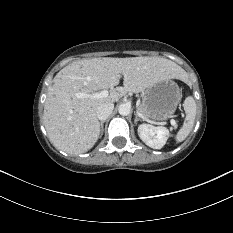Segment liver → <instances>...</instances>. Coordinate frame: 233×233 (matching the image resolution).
Returning a JSON list of instances; mask_svg holds the SVG:
<instances>
[{
  "label": "liver",
  "instance_id": "liver-1",
  "mask_svg": "<svg viewBox=\"0 0 233 233\" xmlns=\"http://www.w3.org/2000/svg\"><path fill=\"white\" fill-rule=\"evenodd\" d=\"M123 75V87H116ZM185 71L161 57L92 58L72 62L54 77L48 87L43 121L53 145L70 154L90 150L100 135L97 108L117 102L128 92H143L155 83L182 79ZM112 89L104 98L90 95ZM84 93V98H76Z\"/></svg>",
  "mask_w": 233,
  "mask_h": 233
}]
</instances>
